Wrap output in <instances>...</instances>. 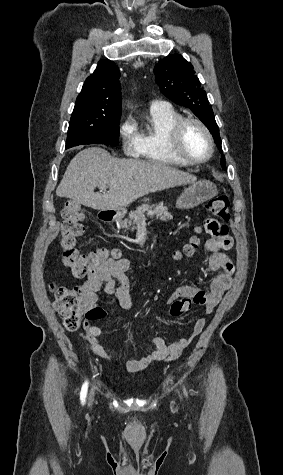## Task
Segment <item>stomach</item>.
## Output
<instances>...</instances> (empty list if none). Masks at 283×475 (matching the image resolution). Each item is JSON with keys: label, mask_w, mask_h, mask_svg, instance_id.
<instances>
[{"label": "stomach", "mask_w": 283, "mask_h": 475, "mask_svg": "<svg viewBox=\"0 0 283 475\" xmlns=\"http://www.w3.org/2000/svg\"><path fill=\"white\" fill-rule=\"evenodd\" d=\"M217 188L215 184L209 182V180H201V182H195L191 184L189 188H186L176 200L177 208L181 210H189V208H196L199 204H203L206 200H211L214 196H217ZM126 214L125 208L122 210H117L115 220L120 222Z\"/></svg>", "instance_id": "1"}]
</instances>
